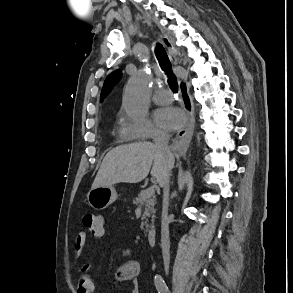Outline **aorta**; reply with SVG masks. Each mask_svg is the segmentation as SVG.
<instances>
[{
  "mask_svg": "<svg viewBox=\"0 0 293 293\" xmlns=\"http://www.w3.org/2000/svg\"><path fill=\"white\" fill-rule=\"evenodd\" d=\"M152 75L139 70L128 81L124 92V107L134 117H144L148 111V93Z\"/></svg>",
  "mask_w": 293,
  "mask_h": 293,
  "instance_id": "aorta-1",
  "label": "aorta"
}]
</instances>
